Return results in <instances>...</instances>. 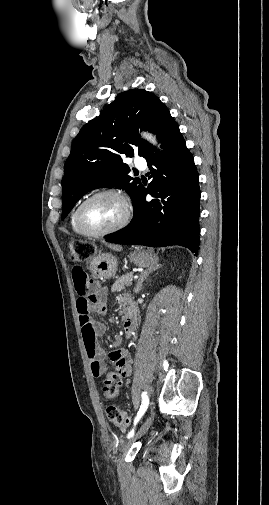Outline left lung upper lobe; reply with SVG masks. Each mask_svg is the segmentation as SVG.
Wrapping results in <instances>:
<instances>
[{
	"instance_id": "1",
	"label": "left lung upper lobe",
	"mask_w": 269,
	"mask_h": 505,
	"mask_svg": "<svg viewBox=\"0 0 269 505\" xmlns=\"http://www.w3.org/2000/svg\"><path fill=\"white\" fill-rule=\"evenodd\" d=\"M169 113L153 93L132 89L118 94L99 117L89 121L75 137L64 166L62 220L87 192L100 187L125 189L134 202L142 184L128 175L123 157L145 156L150 144L138 129L155 132Z\"/></svg>"
}]
</instances>
